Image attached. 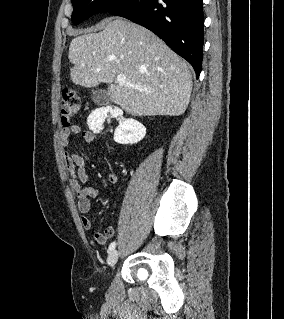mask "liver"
<instances>
[{
  "mask_svg": "<svg viewBox=\"0 0 284 319\" xmlns=\"http://www.w3.org/2000/svg\"><path fill=\"white\" fill-rule=\"evenodd\" d=\"M68 58L74 66L70 78L76 85L109 84L110 100L132 115L183 114L192 91L188 63L160 38L125 19L107 22L103 30H87L70 43ZM118 75L140 85L119 84Z\"/></svg>",
  "mask_w": 284,
  "mask_h": 319,
  "instance_id": "liver-1",
  "label": "liver"
}]
</instances>
